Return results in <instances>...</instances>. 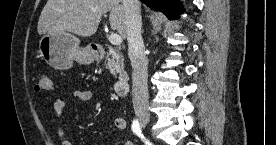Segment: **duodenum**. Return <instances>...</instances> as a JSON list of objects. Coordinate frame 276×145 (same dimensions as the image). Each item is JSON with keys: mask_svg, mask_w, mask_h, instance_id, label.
<instances>
[{"mask_svg": "<svg viewBox=\"0 0 276 145\" xmlns=\"http://www.w3.org/2000/svg\"><path fill=\"white\" fill-rule=\"evenodd\" d=\"M95 53L97 57H102L104 54V49L101 46H95ZM130 80V75L128 71L121 70L118 75V79L114 85V91L119 97H125L128 90V84Z\"/></svg>", "mask_w": 276, "mask_h": 145, "instance_id": "410a0bca", "label": "duodenum"}]
</instances>
